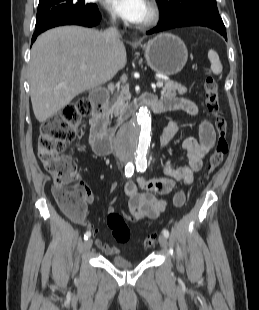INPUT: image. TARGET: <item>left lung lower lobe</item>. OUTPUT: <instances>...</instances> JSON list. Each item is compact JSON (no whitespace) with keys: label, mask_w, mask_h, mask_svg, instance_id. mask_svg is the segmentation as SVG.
Masks as SVG:
<instances>
[{"label":"left lung lower lobe","mask_w":259,"mask_h":310,"mask_svg":"<svg viewBox=\"0 0 259 310\" xmlns=\"http://www.w3.org/2000/svg\"><path fill=\"white\" fill-rule=\"evenodd\" d=\"M183 26H205L209 27L218 33H220L226 40V29L220 16L194 14L184 17L182 19L169 22L166 24H159L154 29L146 32V34H153L156 32L164 31L171 28L183 27Z\"/></svg>","instance_id":"left-lung-lower-lobe-1"}]
</instances>
